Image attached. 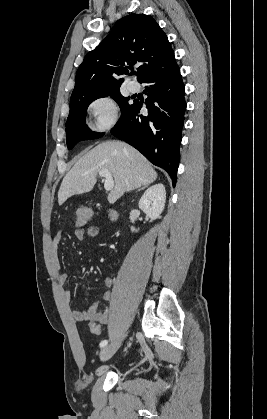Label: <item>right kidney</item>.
Listing matches in <instances>:
<instances>
[{
    "label": "right kidney",
    "instance_id": "right-kidney-1",
    "mask_svg": "<svg viewBox=\"0 0 267 419\" xmlns=\"http://www.w3.org/2000/svg\"><path fill=\"white\" fill-rule=\"evenodd\" d=\"M166 201L165 186L161 183L148 188L139 200V208L152 220L160 217ZM134 232L135 228L131 227Z\"/></svg>",
    "mask_w": 267,
    "mask_h": 419
}]
</instances>
